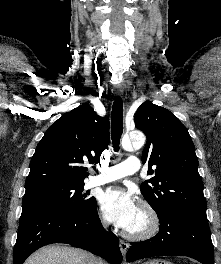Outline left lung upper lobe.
<instances>
[{
  "mask_svg": "<svg viewBox=\"0 0 221 264\" xmlns=\"http://www.w3.org/2000/svg\"><path fill=\"white\" fill-rule=\"evenodd\" d=\"M134 122L147 137L142 163L149 164L148 174L153 175L141 184V192L157 215L206 211L198 159L186 127L169 110L151 102L138 108Z\"/></svg>",
  "mask_w": 221,
  "mask_h": 264,
  "instance_id": "1",
  "label": "left lung upper lobe"
}]
</instances>
